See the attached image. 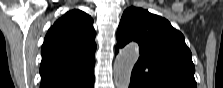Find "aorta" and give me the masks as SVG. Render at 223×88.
Returning <instances> with one entry per match:
<instances>
[{"label":"aorta","mask_w":223,"mask_h":88,"mask_svg":"<svg viewBox=\"0 0 223 88\" xmlns=\"http://www.w3.org/2000/svg\"><path fill=\"white\" fill-rule=\"evenodd\" d=\"M139 58V48L131 43L117 55L114 66V83L117 88H128L132 69Z\"/></svg>","instance_id":"obj_1"}]
</instances>
